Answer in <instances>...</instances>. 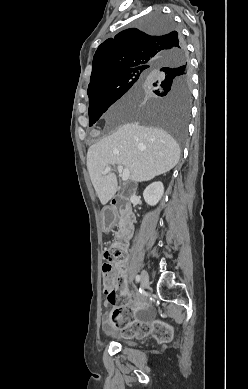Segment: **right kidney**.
I'll list each match as a JSON object with an SVG mask.
<instances>
[{
  "instance_id": "right-kidney-1",
  "label": "right kidney",
  "mask_w": 248,
  "mask_h": 389,
  "mask_svg": "<svg viewBox=\"0 0 248 389\" xmlns=\"http://www.w3.org/2000/svg\"><path fill=\"white\" fill-rule=\"evenodd\" d=\"M164 186L162 182H154L150 184L143 192L145 202L150 206H155L162 198Z\"/></svg>"
}]
</instances>
